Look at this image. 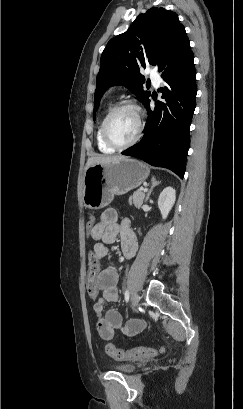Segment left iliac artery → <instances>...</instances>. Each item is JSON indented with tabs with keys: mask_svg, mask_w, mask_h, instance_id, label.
Wrapping results in <instances>:
<instances>
[{
	"mask_svg": "<svg viewBox=\"0 0 243 409\" xmlns=\"http://www.w3.org/2000/svg\"><path fill=\"white\" fill-rule=\"evenodd\" d=\"M124 296H125V301L128 302V301H129V297H130L129 290H126V291H125Z\"/></svg>",
	"mask_w": 243,
	"mask_h": 409,
	"instance_id": "left-iliac-artery-1",
	"label": "left iliac artery"
}]
</instances>
